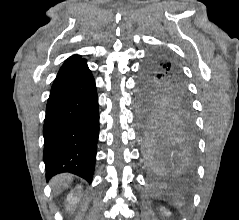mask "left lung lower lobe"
Masks as SVG:
<instances>
[{
  "mask_svg": "<svg viewBox=\"0 0 239 220\" xmlns=\"http://www.w3.org/2000/svg\"><path fill=\"white\" fill-rule=\"evenodd\" d=\"M144 152L154 167L187 164L194 148L191 113L167 112L153 127H144Z\"/></svg>",
  "mask_w": 239,
  "mask_h": 220,
  "instance_id": "obj_1",
  "label": "left lung lower lobe"
}]
</instances>
